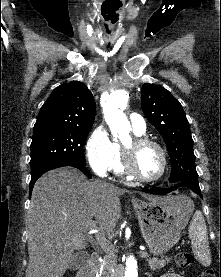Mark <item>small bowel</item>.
<instances>
[{
	"label": "small bowel",
	"mask_w": 221,
	"mask_h": 277,
	"mask_svg": "<svg viewBox=\"0 0 221 277\" xmlns=\"http://www.w3.org/2000/svg\"><path fill=\"white\" fill-rule=\"evenodd\" d=\"M161 277H185V276H182V275L176 274V273H166V274L162 275Z\"/></svg>",
	"instance_id": "small-bowel-1"
}]
</instances>
